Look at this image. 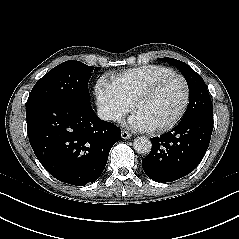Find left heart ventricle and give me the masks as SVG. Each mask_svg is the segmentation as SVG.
Instances as JSON below:
<instances>
[{
	"label": "left heart ventricle",
	"instance_id": "left-heart-ventricle-1",
	"mask_svg": "<svg viewBox=\"0 0 239 239\" xmlns=\"http://www.w3.org/2000/svg\"><path fill=\"white\" fill-rule=\"evenodd\" d=\"M185 88L177 77L164 80L156 91L140 102L134 110L151 128L162 126L173 120L179 113Z\"/></svg>",
	"mask_w": 239,
	"mask_h": 239
}]
</instances>
